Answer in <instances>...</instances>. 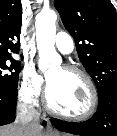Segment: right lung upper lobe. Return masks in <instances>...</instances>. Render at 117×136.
Segmentation results:
<instances>
[{"label":"right lung upper lobe","instance_id":"right-lung-upper-lobe-1","mask_svg":"<svg viewBox=\"0 0 117 136\" xmlns=\"http://www.w3.org/2000/svg\"><path fill=\"white\" fill-rule=\"evenodd\" d=\"M21 0H0V56L19 52Z\"/></svg>","mask_w":117,"mask_h":136}]
</instances>
